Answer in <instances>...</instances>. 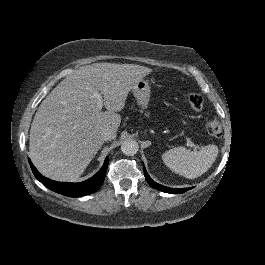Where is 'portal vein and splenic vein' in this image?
Instances as JSON below:
<instances>
[{"label": "portal vein and splenic vein", "mask_w": 265, "mask_h": 265, "mask_svg": "<svg viewBox=\"0 0 265 265\" xmlns=\"http://www.w3.org/2000/svg\"><path fill=\"white\" fill-rule=\"evenodd\" d=\"M92 97L97 99V109L98 110H101L102 109V106H103V98H102V95L98 91H94ZM187 146H191L192 149L195 150V151H199L200 150V147L194 145L189 140V138H187Z\"/></svg>", "instance_id": "obj_1"}]
</instances>
